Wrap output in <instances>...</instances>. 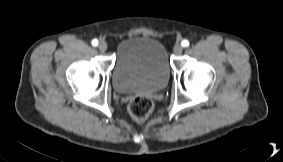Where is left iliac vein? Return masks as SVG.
<instances>
[{"mask_svg": "<svg viewBox=\"0 0 283 162\" xmlns=\"http://www.w3.org/2000/svg\"><path fill=\"white\" fill-rule=\"evenodd\" d=\"M173 51L176 55H180L183 51V47L180 43L175 44Z\"/></svg>", "mask_w": 283, "mask_h": 162, "instance_id": "1", "label": "left iliac vein"}]
</instances>
